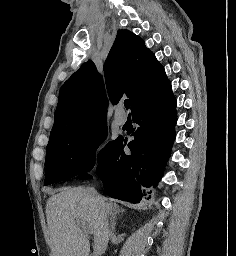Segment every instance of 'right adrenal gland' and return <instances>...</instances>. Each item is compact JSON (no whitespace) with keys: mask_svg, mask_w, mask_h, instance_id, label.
<instances>
[{"mask_svg":"<svg viewBox=\"0 0 236 256\" xmlns=\"http://www.w3.org/2000/svg\"><path fill=\"white\" fill-rule=\"evenodd\" d=\"M116 210H114V214H112L110 232H115L116 220L119 212H124V210H118L119 206H115Z\"/></svg>","mask_w":236,"mask_h":256,"instance_id":"right-adrenal-gland-1","label":"right adrenal gland"}]
</instances>
